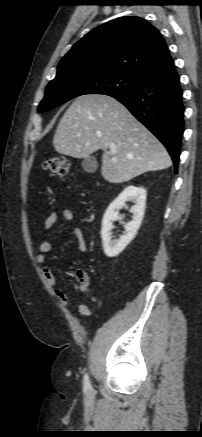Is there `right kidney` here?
Instances as JSON below:
<instances>
[{
  "label": "right kidney",
  "mask_w": 202,
  "mask_h": 437,
  "mask_svg": "<svg viewBox=\"0 0 202 437\" xmlns=\"http://www.w3.org/2000/svg\"><path fill=\"white\" fill-rule=\"evenodd\" d=\"M126 201L134 203L130 208V212L133 214L132 220L125 224V233L118 240H112L113 222L122 219L119 210L125 206ZM145 203L146 190L142 187L128 186L109 205L104 214L101 228V238L106 256L116 257L135 238L144 217Z\"/></svg>",
  "instance_id": "1"
}]
</instances>
